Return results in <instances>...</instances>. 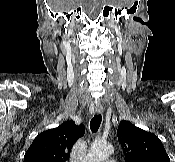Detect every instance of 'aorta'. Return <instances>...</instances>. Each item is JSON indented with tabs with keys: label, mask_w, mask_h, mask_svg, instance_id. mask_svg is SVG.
<instances>
[{
	"label": "aorta",
	"mask_w": 175,
	"mask_h": 162,
	"mask_svg": "<svg viewBox=\"0 0 175 162\" xmlns=\"http://www.w3.org/2000/svg\"><path fill=\"white\" fill-rule=\"evenodd\" d=\"M113 153V146L107 142H94L87 154L85 162H102Z\"/></svg>",
	"instance_id": "1"
}]
</instances>
